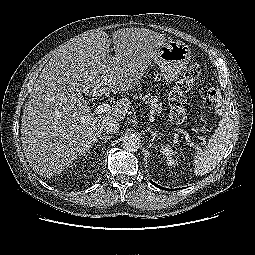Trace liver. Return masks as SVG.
<instances>
[{"instance_id":"obj_1","label":"liver","mask_w":255,"mask_h":255,"mask_svg":"<svg viewBox=\"0 0 255 255\" xmlns=\"http://www.w3.org/2000/svg\"><path fill=\"white\" fill-rule=\"evenodd\" d=\"M164 34L145 28L113 33L115 56L109 55L106 32L88 31L58 49L42 70L22 115L25 157L41 177L60 174L100 137L107 121H121L128 99L106 114L90 112L84 95L99 96L116 88H135L166 42Z\"/></svg>"}]
</instances>
